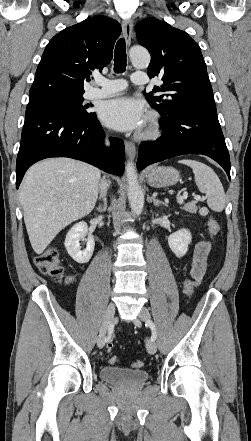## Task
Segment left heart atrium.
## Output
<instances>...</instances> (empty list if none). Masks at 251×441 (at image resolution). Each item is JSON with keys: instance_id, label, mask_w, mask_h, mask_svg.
<instances>
[{"instance_id": "left-heart-atrium-1", "label": "left heart atrium", "mask_w": 251, "mask_h": 441, "mask_svg": "<svg viewBox=\"0 0 251 441\" xmlns=\"http://www.w3.org/2000/svg\"><path fill=\"white\" fill-rule=\"evenodd\" d=\"M145 105L142 101L121 96L103 102L99 109L101 120L119 131H134L145 124Z\"/></svg>"}]
</instances>
